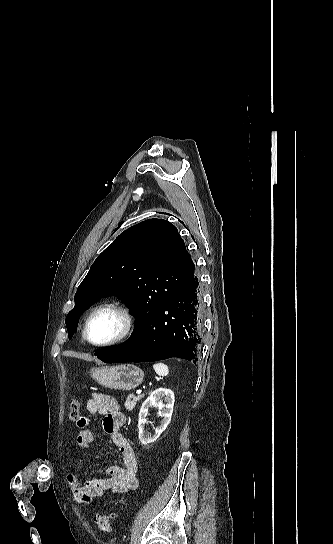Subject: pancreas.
Instances as JSON below:
<instances>
[{
	"label": "pancreas",
	"instance_id": "cf45deb5",
	"mask_svg": "<svg viewBox=\"0 0 333 544\" xmlns=\"http://www.w3.org/2000/svg\"><path fill=\"white\" fill-rule=\"evenodd\" d=\"M141 398L142 395L134 396L133 394H130L126 399L125 408L129 411H132L135 408L136 403L141 400Z\"/></svg>",
	"mask_w": 333,
	"mask_h": 544
}]
</instances>
